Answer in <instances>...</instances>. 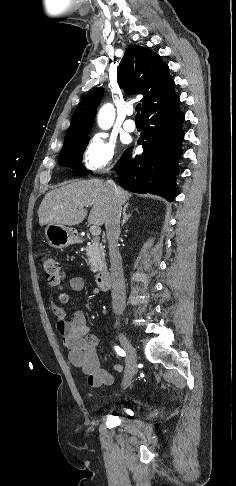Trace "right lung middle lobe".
Masks as SVG:
<instances>
[{
  "label": "right lung middle lobe",
  "instance_id": "dd1d6c3e",
  "mask_svg": "<svg viewBox=\"0 0 236 486\" xmlns=\"http://www.w3.org/2000/svg\"><path fill=\"white\" fill-rule=\"evenodd\" d=\"M88 141L89 137L86 135L74 142L64 144L59 156L60 164L81 171L83 167L82 155L86 149ZM88 173L87 170H84V175H87Z\"/></svg>",
  "mask_w": 236,
  "mask_h": 486
}]
</instances>
